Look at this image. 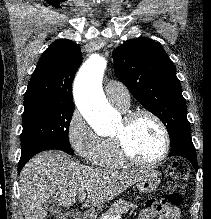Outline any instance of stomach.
<instances>
[{"label": "stomach", "mask_w": 211, "mask_h": 219, "mask_svg": "<svg viewBox=\"0 0 211 219\" xmlns=\"http://www.w3.org/2000/svg\"><path fill=\"white\" fill-rule=\"evenodd\" d=\"M160 178L158 172L147 170V173L137 182V189L141 193H150L158 188Z\"/></svg>", "instance_id": "stomach-1"}]
</instances>
